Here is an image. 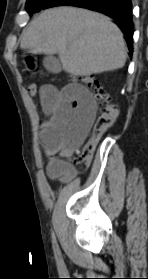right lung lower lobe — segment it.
<instances>
[{
	"label": "right lung lower lobe",
	"instance_id": "1",
	"mask_svg": "<svg viewBox=\"0 0 148 279\" xmlns=\"http://www.w3.org/2000/svg\"><path fill=\"white\" fill-rule=\"evenodd\" d=\"M61 5L87 8L113 18L124 33L130 55H132L133 21L131 0H48L42 9Z\"/></svg>",
	"mask_w": 148,
	"mask_h": 279
}]
</instances>
